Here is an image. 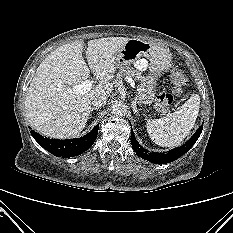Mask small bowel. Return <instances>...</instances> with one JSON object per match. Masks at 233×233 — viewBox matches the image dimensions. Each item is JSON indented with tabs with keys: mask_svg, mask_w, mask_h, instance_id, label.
Instances as JSON below:
<instances>
[{
	"mask_svg": "<svg viewBox=\"0 0 233 233\" xmlns=\"http://www.w3.org/2000/svg\"><path fill=\"white\" fill-rule=\"evenodd\" d=\"M135 66L139 69V70H145L147 68V61L144 59L138 60L135 63Z\"/></svg>",
	"mask_w": 233,
	"mask_h": 233,
	"instance_id": "1",
	"label": "small bowel"
}]
</instances>
